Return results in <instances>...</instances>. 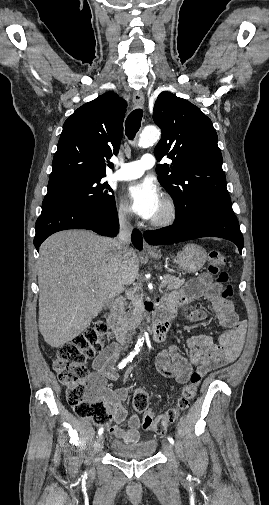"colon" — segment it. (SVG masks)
Instances as JSON below:
<instances>
[{
    "label": "colon",
    "mask_w": 269,
    "mask_h": 505,
    "mask_svg": "<svg viewBox=\"0 0 269 505\" xmlns=\"http://www.w3.org/2000/svg\"><path fill=\"white\" fill-rule=\"evenodd\" d=\"M225 258L219 251H211L208 260V271L216 276L218 283L226 284L228 275L222 271ZM232 288L226 285L222 297L230 298ZM108 331L104 322H98L95 326L87 329L76 336L71 342L63 344L53 361V369L59 381L66 387V399L75 413L83 418H91L97 425L110 423L108 414L101 400L102 382L96 374H91L86 361L94 357L102 350L103 339ZM202 375L194 372L189 383L183 388L177 401L176 408L155 416L148 410V395L143 390H137L133 397V406L143 416V428L157 434H163L172 425L180 411L188 408L195 398Z\"/></svg>",
    "instance_id": "5ec220e1"
}]
</instances>
